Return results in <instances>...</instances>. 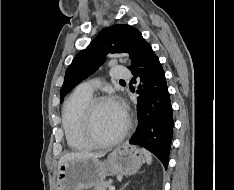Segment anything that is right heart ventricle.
<instances>
[{
    "mask_svg": "<svg viewBox=\"0 0 234 190\" xmlns=\"http://www.w3.org/2000/svg\"><path fill=\"white\" fill-rule=\"evenodd\" d=\"M92 95L75 90L65 101L62 110V126L68 145L75 150H87L92 144L83 132L82 115Z\"/></svg>",
    "mask_w": 234,
    "mask_h": 190,
    "instance_id": "right-heart-ventricle-1",
    "label": "right heart ventricle"
}]
</instances>
